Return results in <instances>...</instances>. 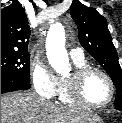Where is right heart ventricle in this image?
<instances>
[{"label":"right heart ventricle","instance_id":"obj_1","mask_svg":"<svg viewBox=\"0 0 122 123\" xmlns=\"http://www.w3.org/2000/svg\"><path fill=\"white\" fill-rule=\"evenodd\" d=\"M73 63L75 65V68H80L86 65H89L87 63V61L85 60V58L82 59H78V60H73ZM57 95L59 97V100L64 103V104H68V105H76V103H74L67 94V86H66V79L65 78H61L59 79V88H58V92Z\"/></svg>","mask_w":122,"mask_h":123}]
</instances>
